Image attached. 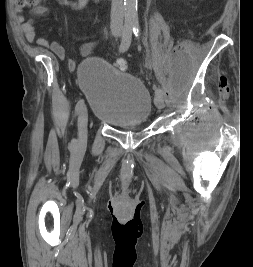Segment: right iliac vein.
<instances>
[{"label":"right iliac vein","instance_id":"1","mask_svg":"<svg viewBox=\"0 0 253 267\" xmlns=\"http://www.w3.org/2000/svg\"><path fill=\"white\" fill-rule=\"evenodd\" d=\"M87 126H88V112L84 107L78 116V132H79V144L83 145L87 141Z\"/></svg>","mask_w":253,"mask_h":267}]
</instances>
